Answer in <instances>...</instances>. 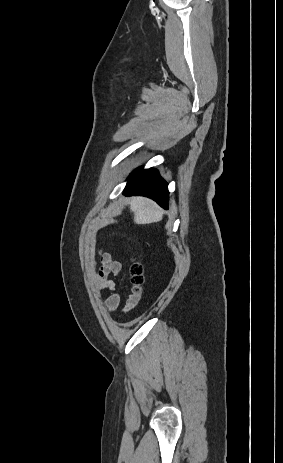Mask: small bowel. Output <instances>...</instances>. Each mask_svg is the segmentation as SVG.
<instances>
[{"label": "small bowel", "mask_w": 283, "mask_h": 463, "mask_svg": "<svg viewBox=\"0 0 283 463\" xmlns=\"http://www.w3.org/2000/svg\"><path fill=\"white\" fill-rule=\"evenodd\" d=\"M97 260L100 261V269L95 274L97 280V291L102 292L104 290H109L110 295L105 299L103 308L106 312L114 311L121 301V295L116 289V283L114 280L109 278L110 274L119 276L123 279L127 278V274L122 263L113 260L111 254L99 250L97 254ZM94 261V264H96ZM135 304V297L131 295L125 305V310L131 309Z\"/></svg>", "instance_id": "obj_1"}]
</instances>
